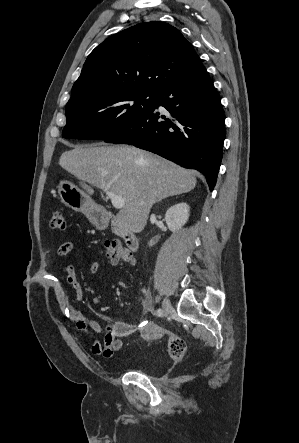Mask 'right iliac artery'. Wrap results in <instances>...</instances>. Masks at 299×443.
I'll return each instance as SVG.
<instances>
[{
  "label": "right iliac artery",
  "instance_id": "1",
  "mask_svg": "<svg viewBox=\"0 0 299 443\" xmlns=\"http://www.w3.org/2000/svg\"><path fill=\"white\" fill-rule=\"evenodd\" d=\"M156 315L157 316H162L163 315V311L161 309H157Z\"/></svg>",
  "mask_w": 299,
  "mask_h": 443
}]
</instances>
